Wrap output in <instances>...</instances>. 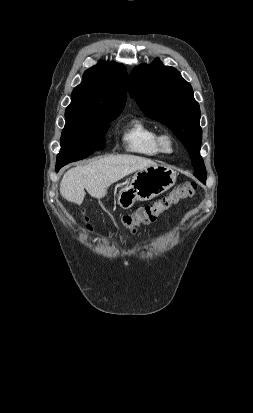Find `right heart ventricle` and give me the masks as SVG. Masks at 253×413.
Listing matches in <instances>:
<instances>
[{
	"label": "right heart ventricle",
	"mask_w": 253,
	"mask_h": 413,
	"mask_svg": "<svg viewBox=\"0 0 253 413\" xmlns=\"http://www.w3.org/2000/svg\"><path fill=\"white\" fill-rule=\"evenodd\" d=\"M158 129L142 118L132 119L123 129L121 140L126 151L144 156H156L162 151L158 144Z\"/></svg>",
	"instance_id": "1"
}]
</instances>
